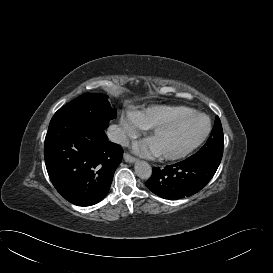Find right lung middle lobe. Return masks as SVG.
Here are the masks:
<instances>
[{
	"mask_svg": "<svg viewBox=\"0 0 273 273\" xmlns=\"http://www.w3.org/2000/svg\"><path fill=\"white\" fill-rule=\"evenodd\" d=\"M107 98V95L100 93L82 94L61 107L52 119L66 117L105 129L109 121L117 116L116 110L111 108Z\"/></svg>",
	"mask_w": 273,
	"mask_h": 273,
	"instance_id": "obj_1",
	"label": "right lung middle lobe"
}]
</instances>
